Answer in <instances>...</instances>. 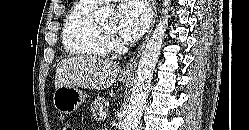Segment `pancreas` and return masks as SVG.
I'll return each mask as SVG.
<instances>
[{
	"mask_svg": "<svg viewBox=\"0 0 249 130\" xmlns=\"http://www.w3.org/2000/svg\"><path fill=\"white\" fill-rule=\"evenodd\" d=\"M105 99L102 97H97L94 99L92 104L90 105L92 110V115L94 118H97L99 116V113L102 112L105 108Z\"/></svg>",
	"mask_w": 249,
	"mask_h": 130,
	"instance_id": "1",
	"label": "pancreas"
}]
</instances>
